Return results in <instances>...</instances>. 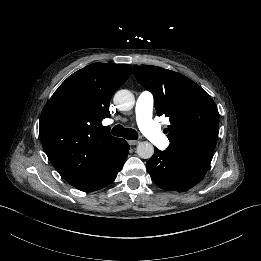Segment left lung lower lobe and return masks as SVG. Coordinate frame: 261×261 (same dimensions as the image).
<instances>
[{
    "label": "left lung lower lobe",
    "mask_w": 261,
    "mask_h": 261,
    "mask_svg": "<svg viewBox=\"0 0 261 261\" xmlns=\"http://www.w3.org/2000/svg\"><path fill=\"white\" fill-rule=\"evenodd\" d=\"M146 164L152 181L163 190L186 192L205 176L212 157L197 151L154 148Z\"/></svg>",
    "instance_id": "1"
}]
</instances>
